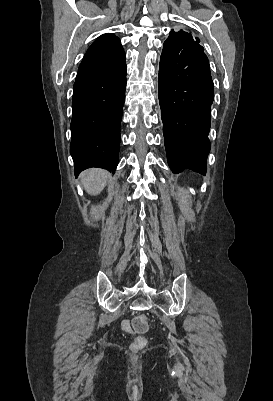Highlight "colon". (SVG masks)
Wrapping results in <instances>:
<instances>
[{"label":"colon","mask_w":273,"mask_h":401,"mask_svg":"<svg viewBox=\"0 0 273 401\" xmlns=\"http://www.w3.org/2000/svg\"><path fill=\"white\" fill-rule=\"evenodd\" d=\"M140 318H144V315H140ZM137 333H145L147 330V324L142 319H137L133 325ZM149 344L148 337H135L134 340L127 342L128 350L126 355L128 358H137L139 353H144Z\"/></svg>","instance_id":"5ec220e1"}]
</instances>
